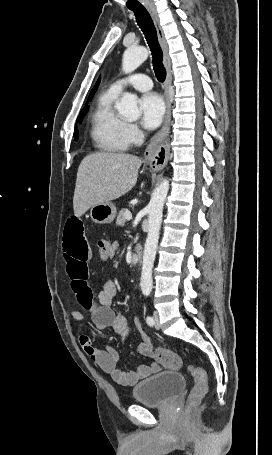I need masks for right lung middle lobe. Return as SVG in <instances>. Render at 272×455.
Masks as SVG:
<instances>
[{
	"label": "right lung middle lobe",
	"instance_id": "dd1d6c3e",
	"mask_svg": "<svg viewBox=\"0 0 272 455\" xmlns=\"http://www.w3.org/2000/svg\"><path fill=\"white\" fill-rule=\"evenodd\" d=\"M90 101V100H89ZM88 110V106L84 107L81 112H80V115L78 116L77 118V122L78 123H81L82 122V118L84 117L85 113L87 112ZM74 138L75 140L78 139V131L76 130V127H75V131H74Z\"/></svg>",
	"mask_w": 272,
	"mask_h": 455
}]
</instances>
